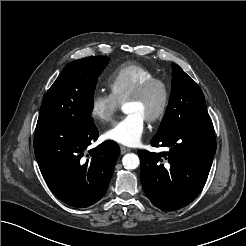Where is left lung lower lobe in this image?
<instances>
[{"label": "left lung lower lobe", "instance_id": "0a47b994", "mask_svg": "<svg viewBox=\"0 0 246 246\" xmlns=\"http://www.w3.org/2000/svg\"><path fill=\"white\" fill-rule=\"evenodd\" d=\"M168 152H138L144 192L158 208L174 211L191 203L203 189L213 157L216 139L211 119L176 125L151 140Z\"/></svg>", "mask_w": 246, "mask_h": 246}]
</instances>
